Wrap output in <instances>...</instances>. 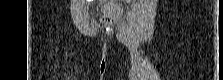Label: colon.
<instances>
[{
	"label": "colon",
	"instance_id": "5ec220e1",
	"mask_svg": "<svg viewBox=\"0 0 223 80\" xmlns=\"http://www.w3.org/2000/svg\"><path fill=\"white\" fill-rule=\"evenodd\" d=\"M114 20H115V17H114V15H112V14H107V15H105V16L103 17V21H104L105 23H113Z\"/></svg>",
	"mask_w": 223,
	"mask_h": 80
}]
</instances>
